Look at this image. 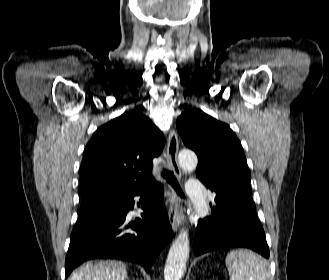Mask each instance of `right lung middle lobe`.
Wrapping results in <instances>:
<instances>
[{
    "instance_id": "1",
    "label": "right lung middle lobe",
    "mask_w": 329,
    "mask_h": 280,
    "mask_svg": "<svg viewBox=\"0 0 329 280\" xmlns=\"http://www.w3.org/2000/svg\"><path fill=\"white\" fill-rule=\"evenodd\" d=\"M88 200H86V201H82V203H81V205H83L84 203H86Z\"/></svg>"
}]
</instances>
